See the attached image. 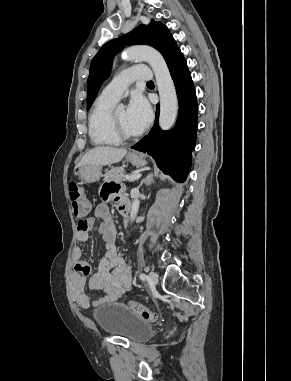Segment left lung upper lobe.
Listing matches in <instances>:
<instances>
[{
  "instance_id": "5c2ea615",
  "label": "left lung upper lobe",
  "mask_w": 291,
  "mask_h": 381,
  "mask_svg": "<svg viewBox=\"0 0 291 381\" xmlns=\"http://www.w3.org/2000/svg\"><path fill=\"white\" fill-rule=\"evenodd\" d=\"M146 44L161 52L166 62L179 50L168 28L151 20L134 31L107 42L95 55L87 81V109L90 108L103 81L109 76L113 57L126 45Z\"/></svg>"
}]
</instances>
